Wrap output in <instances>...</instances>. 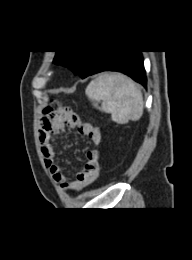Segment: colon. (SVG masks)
<instances>
[{"label":"colon","mask_w":192,"mask_h":260,"mask_svg":"<svg viewBox=\"0 0 192 260\" xmlns=\"http://www.w3.org/2000/svg\"><path fill=\"white\" fill-rule=\"evenodd\" d=\"M68 109L62 107L57 102H52L46 109L44 110L45 118H51L55 116H62L67 114Z\"/></svg>","instance_id":"obj_1"}]
</instances>
